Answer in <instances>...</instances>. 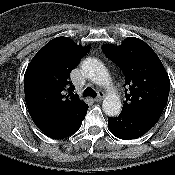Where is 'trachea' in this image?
I'll return each instance as SVG.
<instances>
[{
    "label": "trachea",
    "instance_id": "obj_1",
    "mask_svg": "<svg viewBox=\"0 0 175 175\" xmlns=\"http://www.w3.org/2000/svg\"><path fill=\"white\" fill-rule=\"evenodd\" d=\"M88 96H91V97L95 98L97 96V93L91 87H87L84 90L83 97H88Z\"/></svg>",
    "mask_w": 175,
    "mask_h": 175
}]
</instances>
